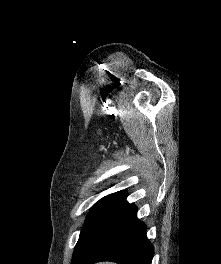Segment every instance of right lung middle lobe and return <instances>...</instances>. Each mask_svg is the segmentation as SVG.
I'll use <instances>...</instances> for the list:
<instances>
[{
  "instance_id": "dd1d6c3e",
  "label": "right lung middle lobe",
  "mask_w": 221,
  "mask_h": 264,
  "mask_svg": "<svg viewBox=\"0 0 221 264\" xmlns=\"http://www.w3.org/2000/svg\"><path fill=\"white\" fill-rule=\"evenodd\" d=\"M123 194V191L110 194L94 204L87 216L85 226L80 233L79 240L73 253V258L78 256L86 247L102 220Z\"/></svg>"
}]
</instances>
